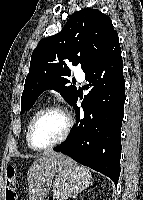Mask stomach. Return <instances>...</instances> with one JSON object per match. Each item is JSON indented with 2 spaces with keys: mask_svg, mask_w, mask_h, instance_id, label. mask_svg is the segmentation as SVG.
Wrapping results in <instances>:
<instances>
[{
  "mask_svg": "<svg viewBox=\"0 0 143 200\" xmlns=\"http://www.w3.org/2000/svg\"><path fill=\"white\" fill-rule=\"evenodd\" d=\"M91 173L88 168L76 163L60 169L52 184L53 200H67L89 186Z\"/></svg>",
  "mask_w": 143,
  "mask_h": 200,
  "instance_id": "1",
  "label": "stomach"
}]
</instances>
